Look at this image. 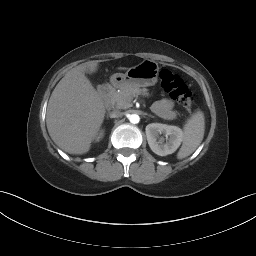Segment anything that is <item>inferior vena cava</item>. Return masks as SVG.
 I'll return each instance as SVG.
<instances>
[{
	"instance_id": "602c4592",
	"label": "inferior vena cava",
	"mask_w": 256,
	"mask_h": 256,
	"mask_svg": "<svg viewBox=\"0 0 256 256\" xmlns=\"http://www.w3.org/2000/svg\"><path fill=\"white\" fill-rule=\"evenodd\" d=\"M121 115H122V112L120 110H114L110 113L111 118H117V117H120Z\"/></svg>"
}]
</instances>
